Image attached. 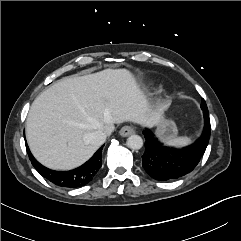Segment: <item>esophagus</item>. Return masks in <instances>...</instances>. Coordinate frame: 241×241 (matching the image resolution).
<instances>
[{
    "label": "esophagus",
    "mask_w": 241,
    "mask_h": 241,
    "mask_svg": "<svg viewBox=\"0 0 241 241\" xmlns=\"http://www.w3.org/2000/svg\"><path fill=\"white\" fill-rule=\"evenodd\" d=\"M133 133H135V129L132 126H124L121 128L120 130V135L123 137H127L129 135H132Z\"/></svg>",
    "instance_id": "obj_1"
}]
</instances>
